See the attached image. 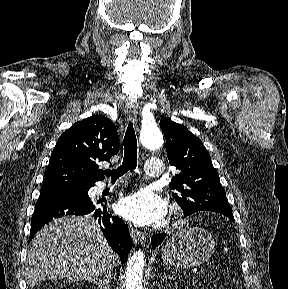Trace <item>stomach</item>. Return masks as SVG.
I'll return each mask as SVG.
<instances>
[{
    "instance_id": "stomach-1",
    "label": "stomach",
    "mask_w": 288,
    "mask_h": 289,
    "mask_svg": "<svg viewBox=\"0 0 288 289\" xmlns=\"http://www.w3.org/2000/svg\"><path fill=\"white\" fill-rule=\"evenodd\" d=\"M211 234L199 227H187L175 232L162 252L167 266L188 268L203 264L214 252Z\"/></svg>"
}]
</instances>
